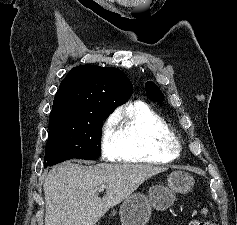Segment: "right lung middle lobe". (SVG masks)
I'll list each match as a JSON object with an SVG mask.
<instances>
[{
  "label": "right lung middle lobe",
  "mask_w": 237,
  "mask_h": 225,
  "mask_svg": "<svg viewBox=\"0 0 237 225\" xmlns=\"http://www.w3.org/2000/svg\"><path fill=\"white\" fill-rule=\"evenodd\" d=\"M112 112H102L90 120L52 118L45 157L94 160L100 156L103 120Z\"/></svg>",
  "instance_id": "right-lung-middle-lobe-1"
}]
</instances>
